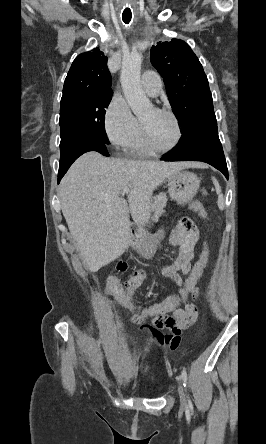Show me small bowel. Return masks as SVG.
I'll use <instances>...</instances> for the list:
<instances>
[{"instance_id":"1","label":"small bowel","mask_w":266,"mask_h":444,"mask_svg":"<svg viewBox=\"0 0 266 444\" xmlns=\"http://www.w3.org/2000/svg\"><path fill=\"white\" fill-rule=\"evenodd\" d=\"M170 241L181 246L180 254L175 260L164 265L161 272L179 286L182 283V277L179 275V272L188 274L191 271L195 257V248L199 241V231L193 221L182 219L171 233ZM128 279L133 283L134 289H136L143 283L145 273L142 271L135 272ZM115 283V279L109 278L105 284L106 290H109ZM198 294V289H195L192 292V297L196 298ZM197 316L198 313L195 305L186 302L184 308H178L171 315L163 318L139 319L130 315V321L139 326L141 331H147L152 334L159 344L173 351L179 345L181 333L196 321ZM164 328L168 329L169 333L163 334L161 330Z\"/></svg>"}]
</instances>
